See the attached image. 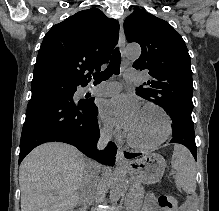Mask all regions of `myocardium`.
I'll list each match as a JSON object with an SVG mask.
<instances>
[{
	"mask_svg": "<svg viewBox=\"0 0 219 211\" xmlns=\"http://www.w3.org/2000/svg\"><path fill=\"white\" fill-rule=\"evenodd\" d=\"M147 108H153L158 110L164 117L165 119V131L164 134L162 135L161 138H159L157 141L152 142V143H141L133 139V137L129 134V132L126 133V139L130 145L133 147L137 148H142V149H152L156 148L162 143H164L169 136L171 135L172 132V120L170 118V115L168 112L160 105L156 103H146L141 107V110L147 109Z\"/></svg>",
	"mask_w": 219,
	"mask_h": 211,
	"instance_id": "obj_1",
	"label": "myocardium"
}]
</instances>
